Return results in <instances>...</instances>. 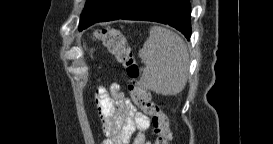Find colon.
<instances>
[{
	"mask_svg": "<svg viewBox=\"0 0 273 144\" xmlns=\"http://www.w3.org/2000/svg\"><path fill=\"white\" fill-rule=\"evenodd\" d=\"M101 37L109 52L126 69L129 78L128 89L133 102L151 119L154 144H169L171 132L168 117L160 105L152 99L149 90L139 82L140 68L127 38L117 28L103 30Z\"/></svg>",
	"mask_w": 273,
	"mask_h": 144,
	"instance_id": "colon-1",
	"label": "colon"
}]
</instances>
